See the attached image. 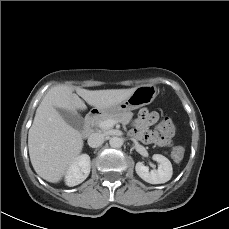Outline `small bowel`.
Instances as JSON below:
<instances>
[{"instance_id":"obj_1","label":"small bowel","mask_w":229,"mask_h":229,"mask_svg":"<svg viewBox=\"0 0 229 229\" xmlns=\"http://www.w3.org/2000/svg\"><path fill=\"white\" fill-rule=\"evenodd\" d=\"M159 120V114L154 111H149L146 108L140 110L137 119L135 120L132 133L139 141L150 143L153 140V135L147 131L148 127L154 125ZM175 149H182L181 146Z\"/></svg>"}]
</instances>
